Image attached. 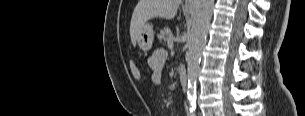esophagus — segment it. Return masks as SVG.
<instances>
[{"instance_id":"34e87169","label":"esophagus","mask_w":305,"mask_h":116,"mask_svg":"<svg viewBox=\"0 0 305 116\" xmlns=\"http://www.w3.org/2000/svg\"><path fill=\"white\" fill-rule=\"evenodd\" d=\"M198 0H186L183 8L187 10H194L196 8Z\"/></svg>"}]
</instances>
